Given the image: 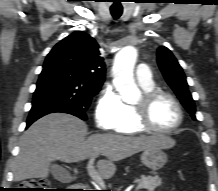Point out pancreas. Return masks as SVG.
Returning <instances> with one entry per match:
<instances>
[{"mask_svg": "<svg viewBox=\"0 0 218 191\" xmlns=\"http://www.w3.org/2000/svg\"><path fill=\"white\" fill-rule=\"evenodd\" d=\"M135 183L138 184V189H147L148 191H154L158 186L162 184L161 179L158 176H141L140 179H135Z\"/></svg>", "mask_w": 218, "mask_h": 191, "instance_id": "obj_1", "label": "pancreas"}]
</instances>
